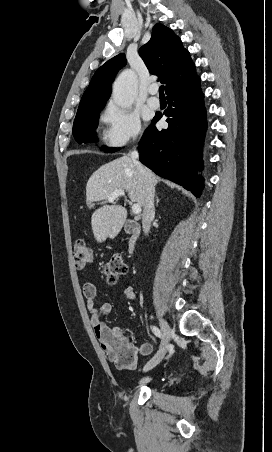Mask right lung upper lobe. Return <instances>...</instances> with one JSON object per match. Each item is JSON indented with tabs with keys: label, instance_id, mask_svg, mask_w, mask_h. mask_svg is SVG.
Masks as SVG:
<instances>
[{
	"label": "right lung upper lobe",
	"instance_id": "obj_1",
	"mask_svg": "<svg viewBox=\"0 0 272 452\" xmlns=\"http://www.w3.org/2000/svg\"><path fill=\"white\" fill-rule=\"evenodd\" d=\"M139 55L149 72L159 76L161 83L166 84L167 95L197 76L195 65L180 38L162 24L153 27L152 37L140 48ZM125 65L124 54H119L103 64L92 77L78 111L105 106L111 94L112 82L117 72Z\"/></svg>",
	"mask_w": 272,
	"mask_h": 452
}]
</instances>
